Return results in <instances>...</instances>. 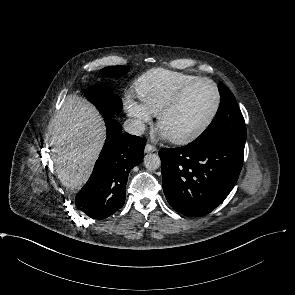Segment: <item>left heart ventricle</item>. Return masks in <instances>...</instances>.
<instances>
[{"instance_id": "obj_1", "label": "left heart ventricle", "mask_w": 295, "mask_h": 295, "mask_svg": "<svg viewBox=\"0 0 295 295\" xmlns=\"http://www.w3.org/2000/svg\"><path fill=\"white\" fill-rule=\"evenodd\" d=\"M216 104L214 88L202 82L192 88L180 105L162 123L169 138L186 137L198 130L211 116Z\"/></svg>"}]
</instances>
